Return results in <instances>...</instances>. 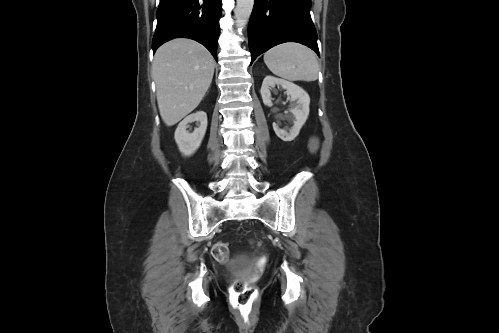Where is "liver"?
<instances>
[{
    "label": "liver",
    "instance_id": "6515ba94",
    "mask_svg": "<svg viewBox=\"0 0 499 333\" xmlns=\"http://www.w3.org/2000/svg\"><path fill=\"white\" fill-rule=\"evenodd\" d=\"M215 60L200 43L177 38L155 53L152 76L161 118L173 126L201 102L212 82Z\"/></svg>",
    "mask_w": 499,
    "mask_h": 333
}]
</instances>
